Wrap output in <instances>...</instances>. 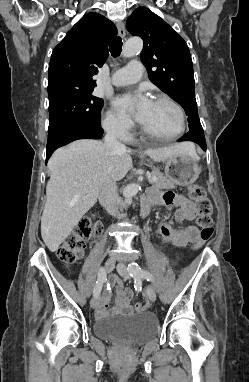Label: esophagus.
Returning a JSON list of instances; mask_svg holds the SVG:
<instances>
[{
    "instance_id": "1",
    "label": "esophagus",
    "mask_w": 249,
    "mask_h": 382,
    "mask_svg": "<svg viewBox=\"0 0 249 382\" xmlns=\"http://www.w3.org/2000/svg\"><path fill=\"white\" fill-rule=\"evenodd\" d=\"M117 29H118V33L120 37L125 38L126 32H125L124 24L122 22L117 23Z\"/></svg>"
}]
</instances>
